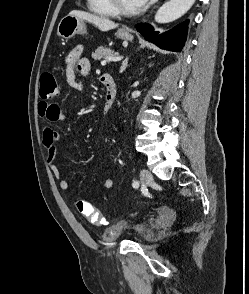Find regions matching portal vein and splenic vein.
<instances>
[{
	"label": "portal vein and splenic vein",
	"mask_w": 249,
	"mask_h": 294,
	"mask_svg": "<svg viewBox=\"0 0 249 294\" xmlns=\"http://www.w3.org/2000/svg\"><path fill=\"white\" fill-rule=\"evenodd\" d=\"M114 60H115L114 57H107L105 58V60L101 61V65L105 66L107 62L114 61Z\"/></svg>",
	"instance_id": "portal-vein-and-splenic-vein-1"
}]
</instances>
